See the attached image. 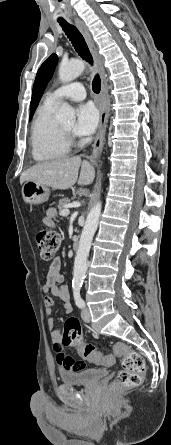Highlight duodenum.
Wrapping results in <instances>:
<instances>
[{
	"label": "duodenum",
	"instance_id": "1",
	"mask_svg": "<svg viewBox=\"0 0 171 445\" xmlns=\"http://www.w3.org/2000/svg\"><path fill=\"white\" fill-rule=\"evenodd\" d=\"M73 248L75 250L80 248V240L78 238L73 241Z\"/></svg>",
	"mask_w": 171,
	"mask_h": 445
}]
</instances>
